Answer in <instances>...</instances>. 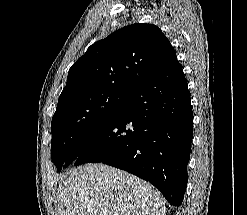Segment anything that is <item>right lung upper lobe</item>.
Segmentation results:
<instances>
[{"label": "right lung upper lobe", "mask_w": 247, "mask_h": 215, "mask_svg": "<svg viewBox=\"0 0 247 215\" xmlns=\"http://www.w3.org/2000/svg\"><path fill=\"white\" fill-rule=\"evenodd\" d=\"M175 53L159 27L126 26L91 45L70 68L58 103L68 96L101 91L133 93Z\"/></svg>", "instance_id": "right-lung-upper-lobe-1"}]
</instances>
